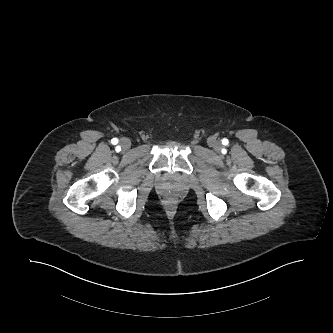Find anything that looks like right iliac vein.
<instances>
[{"mask_svg": "<svg viewBox=\"0 0 333 333\" xmlns=\"http://www.w3.org/2000/svg\"><path fill=\"white\" fill-rule=\"evenodd\" d=\"M120 146H121V148L124 151L128 150L131 147V141H130V139H128V138H122L120 140Z\"/></svg>", "mask_w": 333, "mask_h": 333, "instance_id": "obj_1", "label": "right iliac vein"}]
</instances>
